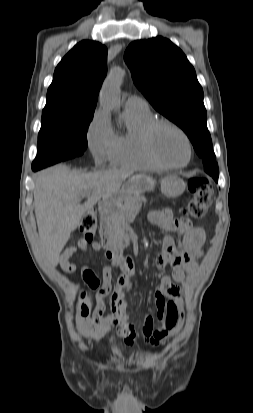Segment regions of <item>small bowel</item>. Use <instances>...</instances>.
<instances>
[{
	"label": "small bowel",
	"instance_id": "1",
	"mask_svg": "<svg viewBox=\"0 0 253 413\" xmlns=\"http://www.w3.org/2000/svg\"><path fill=\"white\" fill-rule=\"evenodd\" d=\"M150 223L163 231L174 232L177 239L170 235L164 236L161 252L155 259L158 269L169 268V272L163 274L159 285L154 292V298L159 313L164 310L165 297L179 296L181 291L176 284L184 283L186 277L192 274L196 268V259L202 254V247L206 239L205 230L199 226H193L184 218L176 219L171 209L151 211L148 215ZM91 248L100 251L99 242L87 243L81 240L76 247L67 249L60 257V265L64 272L72 273L76 270V264L71 260L77 251L86 252ZM106 257L113 267L120 271L117 282L113 286L110 297L111 313L104 315L105 306L103 298L112 289V272L109 266L102 268V282L97 292V303L91 317L77 316L75 323L80 335L94 343H99L115 328L117 335L121 336L127 345L133 346L141 336L150 344H158L153 333V322L150 316H146L140 334L129 321L127 304L124 301L126 292L132 287L133 265L130 259L113 257L106 252ZM82 277L90 286L97 288L100 281L95 272L89 267L82 268Z\"/></svg>",
	"mask_w": 253,
	"mask_h": 413
}]
</instances>
